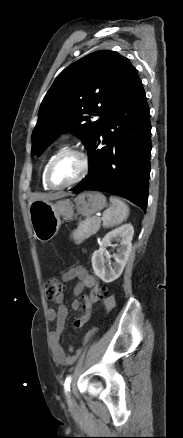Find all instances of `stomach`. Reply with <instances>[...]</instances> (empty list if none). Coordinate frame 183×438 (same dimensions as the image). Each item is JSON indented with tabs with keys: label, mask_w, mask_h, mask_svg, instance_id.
<instances>
[{
	"label": "stomach",
	"mask_w": 183,
	"mask_h": 438,
	"mask_svg": "<svg viewBox=\"0 0 183 438\" xmlns=\"http://www.w3.org/2000/svg\"><path fill=\"white\" fill-rule=\"evenodd\" d=\"M75 208L83 216L102 210L106 206V198L98 192H84L75 199ZM73 205L70 200H60L52 203L47 200H35L29 205V218L34 237L46 243L58 232L61 226V217L72 219Z\"/></svg>",
	"instance_id": "obj_1"
}]
</instances>
